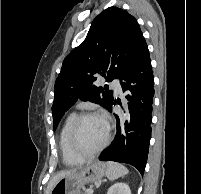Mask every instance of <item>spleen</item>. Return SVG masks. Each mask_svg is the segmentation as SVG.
<instances>
[{
	"label": "spleen",
	"instance_id": "1",
	"mask_svg": "<svg viewBox=\"0 0 201 194\" xmlns=\"http://www.w3.org/2000/svg\"><path fill=\"white\" fill-rule=\"evenodd\" d=\"M128 172V169L122 164L111 161L107 162L106 176L112 181L125 176Z\"/></svg>",
	"mask_w": 201,
	"mask_h": 194
}]
</instances>
